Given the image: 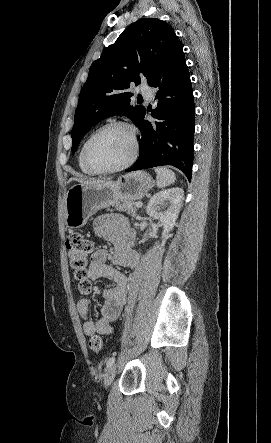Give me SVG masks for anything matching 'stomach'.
I'll list each match as a JSON object with an SVG mask.
<instances>
[{"mask_svg": "<svg viewBox=\"0 0 271 443\" xmlns=\"http://www.w3.org/2000/svg\"><path fill=\"white\" fill-rule=\"evenodd\" d=\"M154 182L147 172H132L117 182H99L81 186L75 184L66 194L65 223L70 229L82 227L101 208L116 206L117 202H135L146 196Z\"/></svg>", "mask_w": 271, "mask_h": 443, "instance_id": "obj_1", "label": "stomach"}]
</instances>
